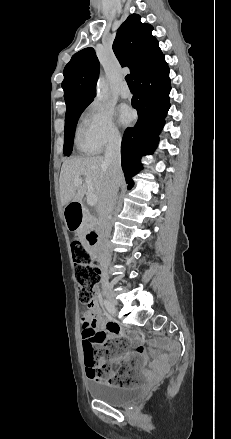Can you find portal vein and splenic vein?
<instances>
[{"label":"portal vein and splenic vein","instance_id":"obj_1","mask_svg":"<svg viewBox=\"0 0 231 439\" xmlns=\"http://www.w3.org/2000/svg\"><path fill=\"white\" fill-rule=\"evenodd\" d=\"M82 182H83L82 178H76L74 180L75 185H80V184H82ZM85 182L87 184V190H88L87 203L89 206H94L97 204V201H98L97 196L93 193V186H92L91 182L87 179H85Z\"/></svg>","mask_w":231,"mask_h":439}]
</instances>
